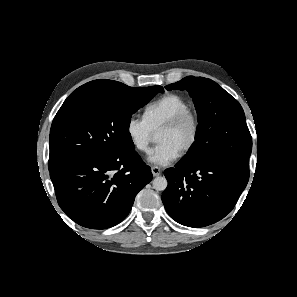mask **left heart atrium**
Segmentation results:
<instances>
[{"label": "left heart atrium", "instance_id": "obj_1", "mask_svg": "<svg viewBox=\"0 0 297 297\" xmlns=\"http://www.w3.org/2000/svg\"><path fill=\"white\" fill-rule=\"evenodd\" d=\"M180 151L171 144L159 143L152 149L148 161L156 166H167L179 157Z\"/></svg>", "mask_w": 297, "mask_h": 297}]
</instances>
